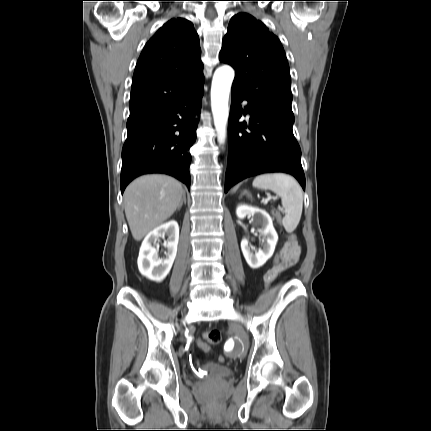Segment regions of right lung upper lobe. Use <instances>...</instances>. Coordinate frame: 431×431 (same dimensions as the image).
<instances>
[{
    "label": "right lung upper lobe",
    "mask_w": 431,
    "mask_h": 431,
    "mask_svg": "<svg viewBox=\"0 0 431 431\" xmlns=\"http://www.w3.org/2000/svg\"><path fill=\"white\" fill-rule=\"evenodd\" d=\"M199 37L190 21L172 19L145 45L135 68L130 115L169 104L203 82Z\"/></svg>",
    "instance_id": "1"
}]
</instances>
